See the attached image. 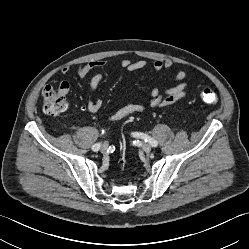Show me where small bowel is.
Here are the masks:
<instances>
[{
  "label": "small bowel",
  "instance_id": "small-bowel-1",
  "mask_svg": "<svg viewBox=\"0 0 249 249\" xmlns=\"http://www.w3.org/2000/svg\"><path fill=\"white\" fill-rule=\"evenodd\" d=\"M107 60L105 59H93L87 62L80 63L76 66L75 71L77 75L81 78L86 77L94 70H98L105 66ZM120 66L128 71L134 72L144 69L148 66V62L144 59H139L136 61H131L129 59L120 60ZM152 67L157 73H162L164 71L170 72L174 68V62L172 60H161L155 59L152 62ZM62 72L67 74L70 72L69 66H64ZM187 72L184 68H179L172 76L171 80L175 84L174 86L161 90L158 87H153L151 89V99L148 103V107L152 109H161L175 104L181 99L188 95L189 83L186 81ZM104 81V75L102 73L94 74L88 82V100L85 109L90 112H97L102 108V100L93 97L94 92ZM58 92L66 96L70 92V83L67 80L60 82L58 86ZM147 109V105L140 103H130L126 104L113 113H111L106 121L108 123L116 122L129 117L133 114L143 112Z\"/></svg>",
  "mask_w": 249,
  "mask_h": 249
}]
</instances>
